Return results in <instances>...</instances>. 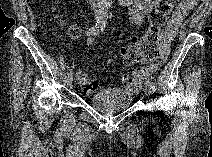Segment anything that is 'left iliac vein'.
I'll return each mask as SVG.
<instances>
[{
	"instance_id": "obj_1",
	"label": "left iliac vein",
	"mask_w": 212,
	"mask_h": 157,
	"mask_svg": "<svg viewBox=\"0 0 212 157\" xmlns=\"http://www.w3.org/2000/svg\"><path fill=\"white\" fill-rule=\"evenodd\" d=\"M144 92H145L146 95H150V94H151V89H150L149 87L146 86V87L144 88Z\"/></svg>"
}]
</instances>
